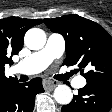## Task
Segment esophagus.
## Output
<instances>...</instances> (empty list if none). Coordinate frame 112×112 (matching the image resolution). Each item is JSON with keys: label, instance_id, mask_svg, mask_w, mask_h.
<instances>
[{"label": "esophagus", "instance_id": "1", "mask_svg": "<svg viewBox=\"0 0 112 112\" xmlns=\"http://www.w3.org/2000/svg\"><path fill=\"white\" fill-rule=\"evenodd\" d=\"M57 84H58L57 81L50 80V79H45L43 81V87L45 90H53Z\"/></svg>", "mask_w": 112, "mask_h": 112}]
</instances>
